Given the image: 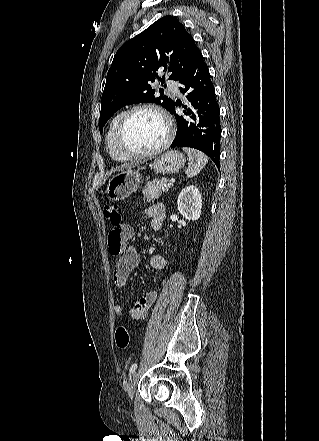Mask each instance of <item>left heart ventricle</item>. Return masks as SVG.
<instances>
[{"mask_svg": "<svg viewBox=\"0 0 319 441\" xmlns=\"http://www.w3.org/2000/svg\"><path fill=\"white\" fill-rule=\"evenodd\" d=\"M166 128L162 119L151 111H138L127 121L122 140L126 148L144 152L157 147L165 138Z\"/></svg>", "mask_w": 319, "mask_h": 441, "instance_id": "1", "label": "left heart ventricle"}]
</instances>
